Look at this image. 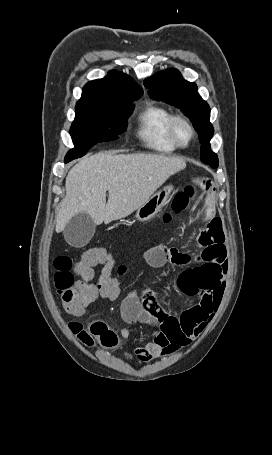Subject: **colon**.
<instances>
[{
    "instance_id": "1",
    "label": "colon",
    "mask_w": 272,
    "mask_h": 455,
    "mask_svg": "<svg viewBox=\"0 0 272 455\" xmlns=\"http://www.w3.org/2000/svg\"><path fill=\"white\" fill-rule=\"evenodd\" d=\"M197 199V191L186 186L173 199L172 212L165 213L163 221L169 223L172 214H180L190 207L191 201ZM104 265L99 281L91 282L93 268ZM54 285L61 297L63 309L74 316L81 315L86 307L93 303L98 297L106 300H114L120 291L122 284L131 281L132 275L127 265L121 264L116 267L113 275L114 260L110 252L100 246H92L83 251L78 260L74 263L68 255H59L53 262ZM81 277L76 281L73 273ZM69 327L73 334L86 346L91 347L100 344L105 347H113L117 344V336L113 330L103 322H93L84 327L80 322H71Z\"/></svg>"
}]
</instances>
